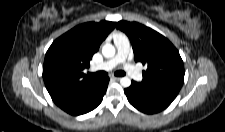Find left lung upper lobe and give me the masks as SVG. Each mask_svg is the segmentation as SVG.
<instances>
[{
	"label": "left lung upper lobe",
	"mask_w": 225,
	"mask_h": 132,
	"mask_svg": "<svg viewBox=\"0 0 225 132\" xmlns=\"http://www.w3.org/2000/svg\"><path fill=\"white\" fill-rule=\"evenodd\" d=\"M132 44L134 59L146 66L142 83L179 91L184 81V65L178 50L163 35L137 22L119 21Z\"/></svg>",
	"instance_id": "obj_1"
}]
</instances>
